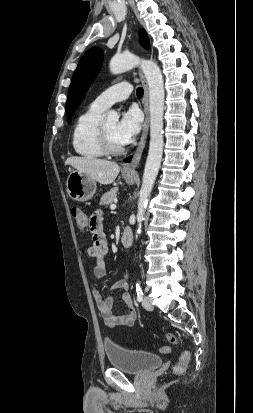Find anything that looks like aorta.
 <instances>
[{"label":"aorta","instance_id":"obj_1","mask_svg":"<svg viewBox=\"0 0 253 413\" xmlns=\"http://www.w3.org/2000/svg\"><path fill=\"white\" fill-rule=\"evenodd\" d=\"M140 66L149 86V111H150V143L149 152L142 178V186L139 192L137 221L139 227L137 234L141 232V222L144 219L145 209L152 192L163 154V114H164V81L160 68L152 60L140 59L133 54L116 55L109 63L111 73L120 74L126 70ZM119 115L110 110L106 114L107 122H117Z\"/></svg>","mask_w":253,"mask_h":413}]
</instances>
